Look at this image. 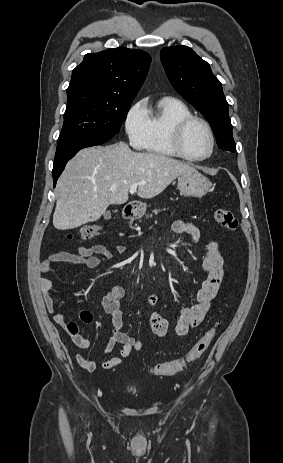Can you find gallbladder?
<instances>
[{
	"label": "gallbladder",
	"mask_w": 283,
	"mask_h": 463,
	"mask_svg": "<svg viewBox=\"0 0 283 463\" xmlns=\"http://www.w3.org/2000/svg\"><path fill=\"white\" fill-rule=\"evenodd\" d=\"M110 216H111V213H110V212L107 211V212L104 213V217H105V218H109Z\"/></svg>",
	"instance_id": "gallbladder-1"
}]
</instances>
